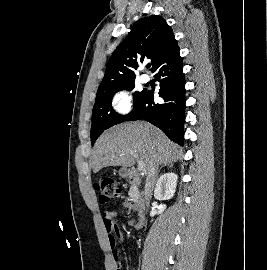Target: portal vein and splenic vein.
Returning <instances> with one entry per match:
<instances>
[{"label": "portal vein and splenic vein", "mask_w": 267, "mask_h": 270, "mask_svg": "<svg viewBox=\"0 0 267 270\" xmlns=\"http://www.w3.org/2000/svg\"><path fill=\"white\" fill-rule=\"evenodd\" d=\"M135 159L138 162V169H139V171H143L144 170V163L139 159L138 156H136Z\"/></svg>", "instance_id": "obj_1"}]
</instances>
